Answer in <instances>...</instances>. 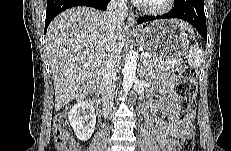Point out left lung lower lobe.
<instances>
[{
	"instance_id": "1",
	"label": "left lung lower lobe",
	"mask_w": 231,
	"mask_h": 151,
	"mask_svg": "<svg viewBox=\"0 0 231 151\" xmlns=\"http://www.w3.org/2000/svg\"><path fill=\"white\" fill-rule=\"evenodd\" d=\"M204 0H180L179 5L162 16L139 17L137 22L153 21L155 19L180 18L194 26L199 34L207 41L206 17Z\"/></svg>"
}]
</instances>
